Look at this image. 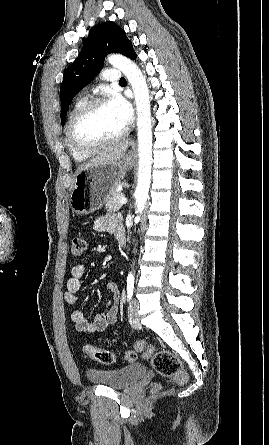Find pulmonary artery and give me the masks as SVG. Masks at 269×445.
I'll return each instance as SVG.
<instances>
[{"label": "pulmonary artery", "instance_id": "e3ab8cb5", "mask_svg": "<svg viewBox=\"0 0 269 445\" xmlns=\"http://www.w3.org/2000/svg\"><path fill=\"white\" fill-rule=\"evenodd\" d=\"M103 77L109 82H119L121 79V72L113 68L105 69L103 71Z\"/></svg>", "mask_w": 269, "mask_h": 445}]
</instances>
